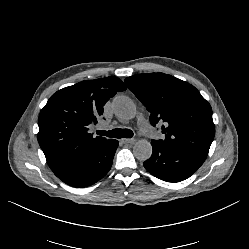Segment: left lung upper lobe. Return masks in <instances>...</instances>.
<instances>
[{
    "label": "left lung upper lobe",
    "mask_w": 249,
    "mask_h": 249,
    "mask_svg": "<svg viewBox=\"0 0 249 249\" xmlns=\"http://www.w3.org/2000/svg\"><path fill=\"white\" fill-rule=\"evenodd\" d=\"M125 83L150 112L152 126L162 124L158 142L207 156L215 126L210 104L191 84L164 73L138 74Z\"/></svg>",
    "instance_id": "1"
}]
</instances>
